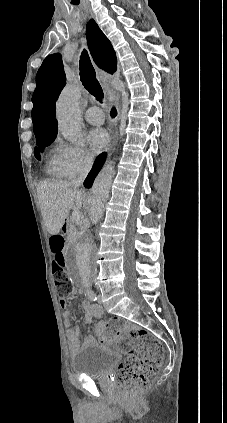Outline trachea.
<instances>
[{"instance_id":"1","label":"trachea","mask_w":227,"mask_h":423,"mask_svg":"<svg viewBox=\"0 0 227 423\" xmlns=\"http://www.w3.org/2000/svg\"><path fill=\"white\" fill-rule=\"evenodd\" d=\"M80 78L86 90H88L97 101L103 103L104 93L96 78V72L86 50L82 52L80 57Z\"/></svg>"}]
</instances>
